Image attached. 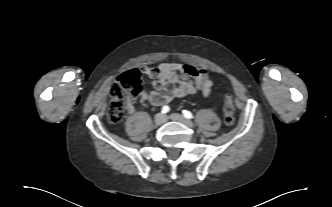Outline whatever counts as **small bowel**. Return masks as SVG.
Wrapping results in <instances>:
<instances>
[{"label": "small bowel", "instance_id": "c3829d8e", "mask_svg": "<svg viewBox=\"0 0 332 207\" xmlns=\"http://www.w3.org/2000/svg\"><path fill=\"white\" fill-rule=\"evenodd\" d=\"M141 72L151 80L153 90L143 91L141 101L162 106L173 98L200 93L207 97L213 88L210 74L204 68L177 62L157 67L143 66Z\"/></svg>", "mask_w": 332, "mask_h": 207}]
</instances>
